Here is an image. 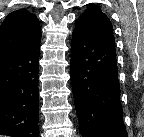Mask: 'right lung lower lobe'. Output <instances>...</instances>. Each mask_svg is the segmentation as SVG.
<instances>
[{"instance_id": "right-lung-lower-lobe-1", "label": "right lung lower lobe", "mask_w": 144, "mask_h": 137, "mask_svg": "<svg viewBox=\"0 0 144 137\" xmlns=\"http://www.w3.org/2000/svg\"><path fill=\"white\" fill-rule=\"evenodd\" d=\"M41 34L0 56V134L39 137L38 63Z\"/></svg>"}]
</instances>
